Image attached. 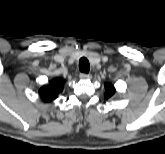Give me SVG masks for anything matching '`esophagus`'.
<instances>
[{"mask_svg":"<svg viewBox=\"0 0 165 154\" xmlns=\"http://www.w3.org/2000/svg\"><path fill=\"white\" fill-rule=\"evenodd\" d=\"M79 77H80L81 79H90V78H91V75L88 74V73H80V74H79Z\"/></svg>","mask_w":165,"mask_h":154,"instance_id":"obj_1","label":"esophagus"}]
</instances>
